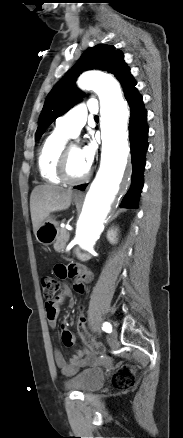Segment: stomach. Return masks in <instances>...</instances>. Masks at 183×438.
<instances>
[{
	"instance_id": "1",
	"label": "stomach",
	"mask_w": 183,
	"mask_h": 438,
	"mask_svg": "<svg viewBox=\"0 0 183 438\" xmlns=\"http://www.w3.org/2000/svg\"><path fill=\"white\" fill-rule=\"evenodd\" d=\"M77 196L73 197L75 203L79 202ZM58 222H56L53 216H48L37 228L35 232L36 239L43 245H51L58 237L59 234Z\"/></svg>"
}]
</instances>
